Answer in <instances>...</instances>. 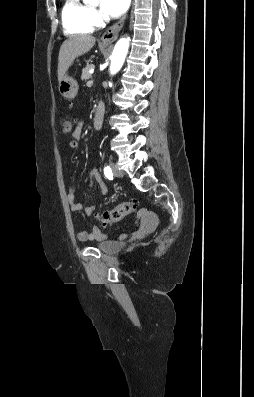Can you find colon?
Wrapping results in <instances>:
<instances>
[{"mask_svg":"<svg viewBox=\"0 0 254 397\" xmlns=\"http://www.w3.org/2000/svg\"><path fill=\"white\" fill-rule=\"evenodd\" d=\"M60 128L63 134L71 131V123L66 117L60 119ZM138 204L135 200H126L116 207L104 211L98 215V220L102 225H112L121 221L124 217L137 212Z\"/></svg>","mask_w":254,"mask_h":397,"instance_id":"5ec220e1","label":"colon"}]
</instances>
